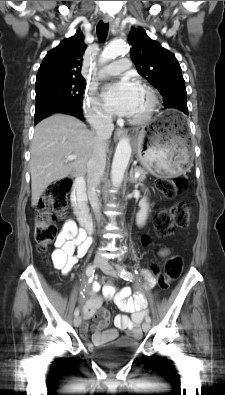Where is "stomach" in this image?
<instances>
[{"instance_id": "0dacf381", "label": "stomach", "mask_w": 225, "mask_h": 395, "mask_svg": "<svg viewBox=\"0 0 225 395\" xmlns=\"http://www.w3.org/2000/svg\"><path fill=\"white\" fill-rule=\"evenodd\" d=\"M183 124L171 110L160 113L138 133L137 153L144 168L155 175L175 177L190 164L192 151Z\"/></svg>"}]
</instances>
